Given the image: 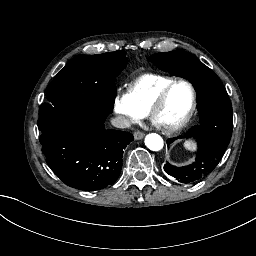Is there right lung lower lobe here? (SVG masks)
<instances>
[{
	"label": "right lung lower lobe",
	"mask_w": 256,
	"mask_h": 256,
	"mask_svg": "<svg viewBox=\"0 0 256 256\" xmlns=\"http://www.w3.org/2000/svg\"><path fill=\"white\" fill-rule=\"evenodd\" d=\"M105 118L73 114L46 122L40 143L46 162L68 186L95 191L113 184L132 134L106 130Z\"/></svg>",
	"instance_id": "right-lung-lower-lobe-1"
}]
</instances>
